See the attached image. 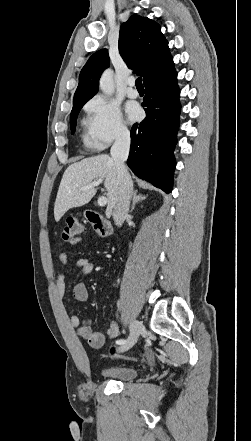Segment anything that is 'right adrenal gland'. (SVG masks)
Instances as JSON below:
<instances>
[{"mask_svg": "<svg viewBox=\"0 0 251 441\" xmlns=\"http://www.w3.org/2000/svg\"><path fill=\"white\" fill-rule=\"evenodd\" d=\"M145 199H146V196H143L142 194H138V191L135 190L132 194V206H131L130 212H133L136 204H138L139 202H141Z\"/></svg>", "mask_w": 251, "mask_h": 441, "instance_id": "1", "label": "right adrenal gland"}]
</instances>
